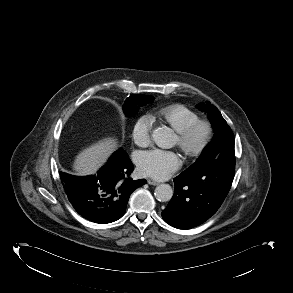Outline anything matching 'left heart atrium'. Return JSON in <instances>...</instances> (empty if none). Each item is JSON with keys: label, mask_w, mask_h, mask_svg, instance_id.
Masks as SVG:
<instances>
[{"label": "left heart atrium", "mask_w": 293, "mask_h": 293, "mask_svg": "<svg viewBox=\"0 0 293 293\" xmlns=\"http://www.w3.org/2000/svg\"><path fill=\"white\" fill-rule=\"evenodd\" d=\"M137 166L142 175L163 180L180 168L181 159L174 151L152 149L138 155Z\"/></svg>", "instance_id": "39dd6f15"}]
</instances>
